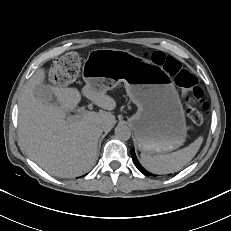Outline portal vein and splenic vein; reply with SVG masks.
<instances>
[{
	"label": "portal vein and splenic vein",
	"mask_w": 231,
	"mask_h": 231,
	"mask_svg": "<svg viewBox=\"0 0 231 231\" xmlns=\"http://www.w3.org/2000/svg\"><path fill=\"white\" fill-rule=\"evenodd\" d=\"M89 108L91 109V106L89 105ZM71 120L72 119H74V118H77V116L76 117H74V116H72V117H69Z\"/></svg>",
	"instance_id": "obj_1"
}]
</instances>
